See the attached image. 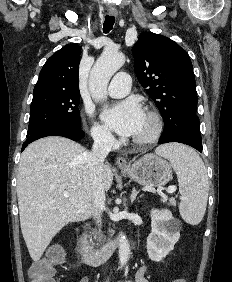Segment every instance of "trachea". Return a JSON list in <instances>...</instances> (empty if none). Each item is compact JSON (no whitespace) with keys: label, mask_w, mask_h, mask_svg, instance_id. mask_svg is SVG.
I'll return each instance as SVG.
<instances>
[{"label":"trachea","mask_w":232,"mask_h":282,"mask_svg":"<svg viewBox=\"0 0 232 282\" xmlns=\"http://www.w3.org/2000/svg\"><path fill=\"white\" fill-rule=\"evenodd\" d=\"M115 23V17L114 16H106L104 25H103V32L108 33L113 28V25Z\"/></svg>","instance_id":"obj_1"}]
</instances>
